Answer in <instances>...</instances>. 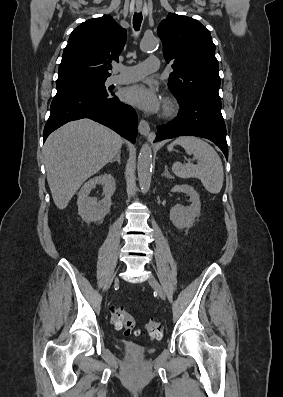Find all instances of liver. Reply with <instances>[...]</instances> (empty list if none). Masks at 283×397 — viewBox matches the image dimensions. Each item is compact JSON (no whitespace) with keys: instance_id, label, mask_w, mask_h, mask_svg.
I'll return each mask as SVG.
<instances>
[{"instance_id":"1","label":"liver","mask_w":283,"mask_h":397,"mask_svg":"<svg viewBox=\"0 0 283 397\" xmlns=\"http://www.w3.org/2000/svg\"><path fill=\"white\" fill-rule=\"evenodd\" d=\"M123 139L90 119L69 122L50 134L43 152L47 181L59 209H65L90 176L121 150Z\"/></svg>"}]
</instances>
